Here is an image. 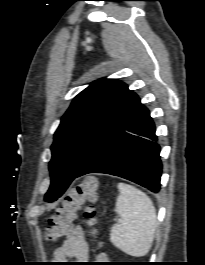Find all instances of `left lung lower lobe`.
Instances as JSON below:
<instances>
[{
    "instance_id": "obj_1",
    "label": "left lung lower lobe",
    "mask_w": 205,
    "mask_h": 265,
    "mask_svg": "<svg viewBox=\"0 0 205 265\" xmlns=\"http://www.w3.org/2000/svg\"><path fill=\"white\" fill-rule=\"evenodd\" d=\"M160 146L150 113L142 104L126 124L83 166L75 178L106 173L135 182L152 192L160 190Z\"/></svg>"
}]
</instances>
